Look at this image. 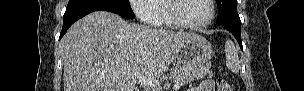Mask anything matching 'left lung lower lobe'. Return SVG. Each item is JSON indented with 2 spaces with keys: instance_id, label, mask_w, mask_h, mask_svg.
<instances>
[{
  "instance_id": "left-lung-lower-lobe-1",
  "label": "left lung lower lobe",
  "mask_w": 304,
  "mask_h": 91,
  "mask_svg": "<svg viewBox=\"0 0 304 91\" xmlns=\"http://www.w3.org/2000/svg\"><path fill=\"white\" fill-rule=\"evenodd\" d=\"M221 26L227 29L228 31H230L235 36L237 42L239 43L240 48L243 50L241 34H240L241 21H232L229 23H225Z\"/></svg>"
}]
</instances>
